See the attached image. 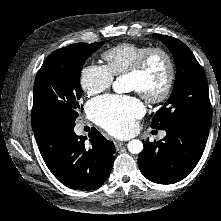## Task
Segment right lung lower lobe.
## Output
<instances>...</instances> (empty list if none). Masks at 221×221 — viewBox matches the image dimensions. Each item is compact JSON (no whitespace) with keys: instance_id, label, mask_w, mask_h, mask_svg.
I'll return each mask as SVG.
<instances>
[{"instance_id":"obj_1","label":"right lung lower lobe","mask_w":221,"mask_h":221,"mask_svg":"<svg viewBox=\"0 0 221 221\" xmlns=\"http://www.w3.org/2000/svg\"><path fill=\"white\" fill-rule=\"evenodd\" d=\"M74 124L49 122L34 131L38 148L52 174L71 189H95L109 177L115 152L113 142L95 128L87 137L74 133Z\"/></svg>"}]
</instances>
